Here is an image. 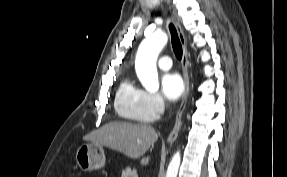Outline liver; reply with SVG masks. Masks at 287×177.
Instances as JSON below:
<instances>
[{"mask_svg": "<svg viewBox=\"0 0 287 177\" xmlns=\"http://www.w3.org/2000/svg\"><path fill=\"white\" fill-rule=\"evenodd\" d=\"M83 140L106 146L137 159L158 140V134L152 126L147 124L112 121L84 136ZM149 160V157H144L140 163L147 165Z\"/></svg>", "mask_w": 287, "mask_h": 177, "instance_id": "obj_1", "label": "liver"}]
</instances>
